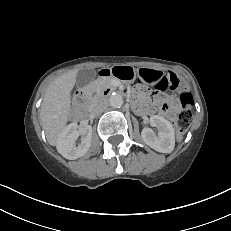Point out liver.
Here are the masks:
<instances>
[{
  "label": "liver",
  "mask_w": 231,
  "mask_h": 231,
  "mask_svg": "<svg viewBox=\"0 0 231 231\" xmlns=\"http://www.w3.org/2000/svg\"><path fill=\"white\" fill-rule=\"evenodd\" d=\"M78 70H70L56 78L46 89L40 107V123L46 139L57 146L58 137L71 115V91L76 83Z\"/></svg>",
  "instance_id": "liver-1"
}]
</instances>
